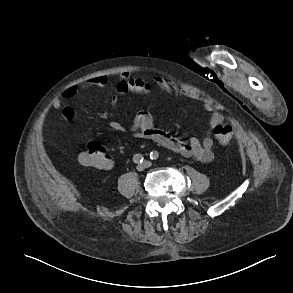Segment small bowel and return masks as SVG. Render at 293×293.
Masks as SVG:
<instances>
[{"label":"small bowel","mask_w":293,"mask_h":293,"mask_svg":"<svg viewBox=\"0 0 293 293\" xmlns=\"http://www.w3.org/2000/svg\"><path fill=\"white\" fill-rule=\"evenodd\" d=\"M154 82L159 88L167 93H175L176 95L185 96L190 99L198 98L193 92L176 87L164 77L156 76L154 77ZM106 84L107 78L96 77L80 86H69L59 98L54 100L53 107L62 110L63 116L66 119L71 120L74 117V109L65 105V102L74 98L80 89L87 87H104ZM116 90L119 94H125L129 91L149 92L150 86L148 82L140 77H131L128 73H122L120 79L116 83ZM116 102L117 98L114 97L111 104L115 105ZM204 108L206 111L211 112V115L209 120V130L207 135L201 141L195 137L185 141L176 139L167 131L156 127L154 119L149 112L138 113L128 130L138 139L156 142L172 152L181 154L185 157L194 158L203 163H209L214 159V140L211 136V131L217 125L221 124L224 118L221 113L214 111L210 105L204 104ZM109 127L116 132H124L126 130V127L116 120H111L109 122ZM112 167L113 161L110 159L109 166L105 170H110Z\"/></svg>","instance_id":"1"}]
</instances>
